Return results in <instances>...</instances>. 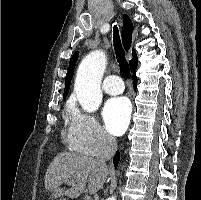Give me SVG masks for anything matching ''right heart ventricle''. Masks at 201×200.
I'll return each instance as SVG.
<instances>
[{
  "label": "right heart ventricle",
  "mask_w": 201,
  "mask_h": 200,
  "mask_svg": "<svg viewBox=\"0 0 201 200\" xmlns=\"http://www.w3.org/2000/svg\"><path fill=\"white\" fill-rule=\"evenodd\" d=\"M70 111H71V109L69 108V110H68V117H70ZM67 140H68V143H69V145H70V142H69V139H68V134H67ZM70 147H71L73 150L79 152L78 150H76L75 148H73L71 145H70Z\"/></svg>",
  "instance_id": "right-heart-ventricle-1"
}]
</instances>
